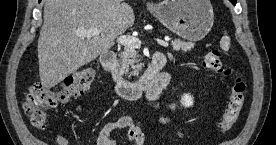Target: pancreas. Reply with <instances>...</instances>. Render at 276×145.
Segmentation results:
<instances>
[{"label":"pancreas","mask_w":276,"mask_h":145,"mask_svg":"<svg viewBox=\"0 0 276 145\" xmlns=\"http://www.w3.org/2000/svg\"><path fill=\"white\" fill-rule=\"evenodd\" d=\"M172 47L175 51H190L194 47V43L185 42L180 39H174L172 41ZM120 57V69L123 73L129 74L128 78L131 75H138L142 69V65L139 64L138 54L136 48L125 47L124 51L119 54ZM133 69L130 72V69Z\"/></svg>","instance_id":"obj_1"}]
</instances>
